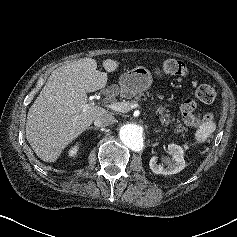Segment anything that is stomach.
I'll list each match as a JSON object with an SVG mask.
<instances>
[{
  "instance_id": "0dacf381",
  "label": "stomach",
  "mask_w": 237,
  "mask_h": 237,
  "mask_svg": "<svg viewBox=\"0 0 237 237\" xmlns=\"http://www.w3.org/2000/svg\"><path fill=\"white\" fill-rule=\"evenodd\" d=\"M156 74L161 77L160 70L157 69ZM151 84L152 75L150 71L143 66H137L119 78L121 93L126 98H132L147 90Z\"/></svg>"
}]
</instances>
